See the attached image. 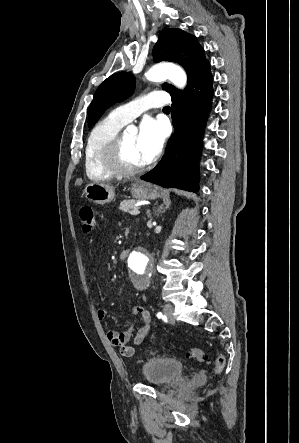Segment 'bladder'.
<instances>
[{
	"instance_id": "bladder-1",
	"label": "bladder",
	"mask_w": 299,
	"mask_h": 443,
	"mask_svg": "<svg viewBox=\"0 0 299 443\" xmlns=\"http://www.w3.org/2000/svg\"><path fill=\"white\" fill-rule=\"evenodd\" d=\"M141 375L147 384L162 387L183 378L184 369L182 364L174 358L158 357L142 364Z\"/></svg>"
}]
</instances>
